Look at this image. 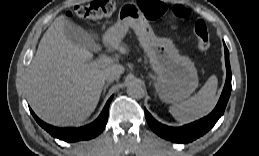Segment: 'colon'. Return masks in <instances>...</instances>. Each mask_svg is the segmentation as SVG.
<instances>
[{"label": "colon", "instance_id": "1", "mask_svg": "<svg viewBox=\"0 0 259 156\" xmlns=\"http://www.w3.org/2000/svg\"><path fill=\"white\" fill-rule=\"evenodd\" d=\"M139 8L150 20H157L166 12L165 5L157 0H141ZM115 10L116 4L113 1L95 0L75 6L70 16L79 19H99L113 15ZM172 14L178 18H188L190 16L189 11L182 6L173 7ZM193 32L197 41V49L200 52H207L211 44L206 24L202 20L195 21Z\"/></svg>", "mask_w": 259, "mask_h": 156}]
</instances>
